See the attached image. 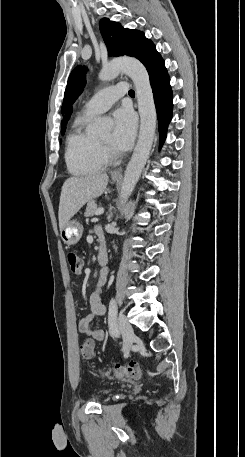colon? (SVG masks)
<instances>
[{
	"label": "colon",
	"instance_id": "colon-1",
	"mask_svg": "<svg viewBox=\"0 0 245 457\" xmlns=\"http://www.w3.org/2000/svg\"><path fill=\"white\" fill-rule=\"evenodd\" d=\"M67 261L70 271L74 275H80L83 269V260L78 253L69 251ZM94 353V343L88 339L80 344V354L83 359H91ZM116 378H139L142 375V368L137 362H130L126 365H117L109 371Z\"/></svg>",
	"mask_w": 245,
	"mask_h": 457
}]
</instances>
